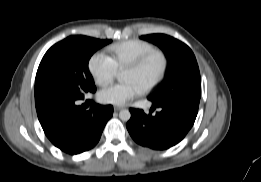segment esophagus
Masks as SVG:
<instances>
[{
	"label": "esophagus",
	"mask_w": 261,
	"mask_h": 182,
	"mask_svg": "<svg viewBox=\"0 0 261 182\" xmlns=\"http://www.w3.org/2000/svg\"><path fill=\"white\" fill-rule=\"evenodd\" d=\"M124 108H125L124 106H114V111H120Z\"/></svg>",
	"instance_id": "obj_1"
}]
</instances>
